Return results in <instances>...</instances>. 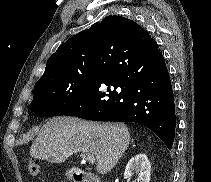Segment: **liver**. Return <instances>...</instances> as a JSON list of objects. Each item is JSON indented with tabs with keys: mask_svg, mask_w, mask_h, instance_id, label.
<instances>
[{
	"mask_svg": "<svg viewBox=\"0 0 211 182\" xmlns=\"http://www.w3.org/2000/svg\"><path fill=\"white\" fill-rule=\"evenodd\" d=\"M130 142L124 124L94 123L75 117H57L40 129L30 156L51 163L65 162L73 153L93 154L96 170L108 173L123 156Z\"/></svg>",
	"mask_w": 211,
	"mask_h": 182,
	"instance_id": "1",
	"label": "liver"
}]
</instances>
